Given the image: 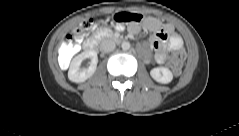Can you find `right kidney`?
<instances>
[{"instance_id":"1","label":"right kidney","mask_w":239,"mask_h":136,"mask_svg":"<svg viewBox=\"0 0 239 136\" xmlns=\"http://www.w3.org/2000/svg\"><path fill=\"white\" fill-rule=\"evenodd\" d=\"M90 59L88 68H81V63ZM98 63L97 53L95 51H85L75 56L68 71V78L72 82L82 83L90 78L96 71Z\"/></svg>"}]
</instances>
